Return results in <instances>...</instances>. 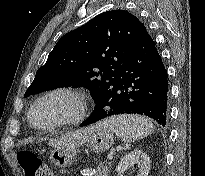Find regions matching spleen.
<instances>
[{
  "label": "spleen",
  "instance_id": "obj_1",
  "mask_svg": "<svg viewBox=\"0 0 205 176\" xmlns=\"http://www.w3.org/2000/svg\"><path fill=\"white\" fill-rule=\"evenodd\" d=\"M115 132L124 142L130 143L152 134L154 127L145 117L138 115H117L98 123Z\"/></svg>",
  "mask_w": 205,
  "mask_h": 176
}]
</instances>
